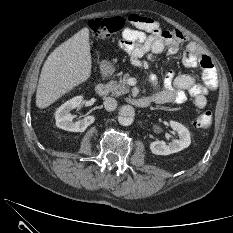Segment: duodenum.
Segmentation results:
<instances>
[{
    "mask_svg": "<svg viewBox=\"0 0 233 233\" xmlns=\"http://www.w3.org/2000/svg\"><path fill=\"white\" fill-rule=\"evenodd\" d=\"M110 73L109 67L104 66L102 68V75L106 77ZM95 91L99 96H106L108 93V86L106 83H98L95 87ZM128 101L138 107V108H146L151 104V99L149 97H130Z\"/></svg>",
    "mask_w": 233,
    "mask_h": 233,
    "instance_id": "1",
    "label": "duodenum"
}]
</instances>
